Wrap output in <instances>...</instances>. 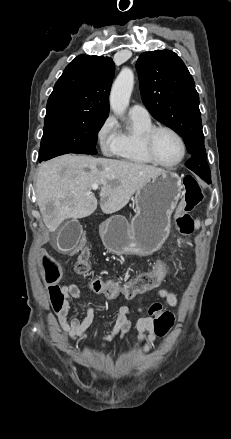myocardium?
<instances>
[{"instance_id": "f54148a6", "label": "myocardium", "mask_w": 231, "mask_h": 439, "mask_svg": "<svg viewBox=\"0 0 231 439\" xmlns=\"http://www.w3.org/2000/svg\"><path fill=\"white\" fill-rule=\"evenodd\" d=\"M160 131H167V132L171 133L172 135H174L177 138V140L180 143L181 155H180L179 159L177 161H175L174 163H169V164L164 163V162L160 161L155 154L154 138H155L156 134ZM141 143H142L143 151L146 154V156L149 158V160L152 163H154L158 166L164 167V168H174V167L178 166L179 164H181L183 162V160L185 159L186 152H187L186 143H185V140L182 137V135L177 130H175L174 128L167 126V125L152 126L150 129H148L142 135Z\"/></svg>"}]
</instances>
